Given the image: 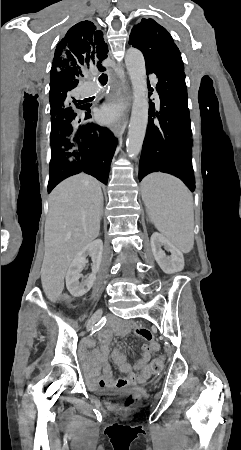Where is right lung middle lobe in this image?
Segmentation results:
<instances>
[{"mask_svg": "<svg viewBox=\"0 0 241 450\" xmlns=\"http://www.w3.org/2000/svg\"><path fill=\"white\" fill-rule=\"evenodd\" d=\"M81 103V101L70 96L50 101L52 149L73 147L72 136L61 132L57 125L62 120H76L82 117L80 110L88 111L89 108L84 105L80 106Z\"/></svg>", "mask_w": 241, "mask_h": 450, "instance_id": "dd1d6c3e", "label": "right lung middle lobe"}]
</instances>
